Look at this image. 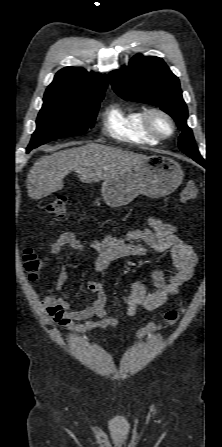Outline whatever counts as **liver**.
<instances>
[{
	"label": "liver",
	"mask_w": 222,
	"mask_h": 447,
	"mask_svg": "<svg viewBox=\"0 0 222 447\" xmlns=\"http://www.w3.org/2000/svg\"><path fill=\"white\" fill-rule=\"evenodd\" d=\"M146 159L143 154L96 143L58 151L34 163L27 177L28 196L39 200L62 190L63 179L71 171L78 173L81 182L92 183L130 170Z\"/></svg>",
	"instance_id": "6515ba94"
}]
</instances>
